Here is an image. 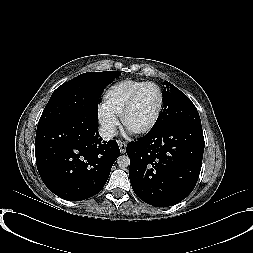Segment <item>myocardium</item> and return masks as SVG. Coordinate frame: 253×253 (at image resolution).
<instances>
[{"label":"myocardium","mask_w":253,"mask_h":253,"mask_svg":"<svg viewBox=\"0 0 253 253\" xmlns=\"http://www.w3.org/2000/svg\"><path fill=\"white\" fill-rule=\"evenodd\" d=\"M147 86H154L159 92L160 101H159L157 111H156L152 121L146 127L141 128V129H137V130H131L127 127V124H126L127 116L130 113V111L132 110V108L134 107L140 92ZM164 103H165V95H164V91L160 87V85H158L157 83L152 82V81H146V82L142 83L141 85H139L132 92L129 99L127 100V102L121 112V115H120L121 123L130 133H132L134 135H145V134L151 132L155 128V126L157 125V123L161 117L163 108H164Z\"/></svg>","instance_id":"myocardium-1"}]
</instances>
